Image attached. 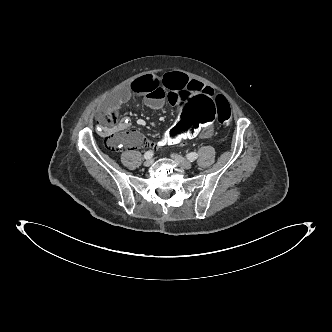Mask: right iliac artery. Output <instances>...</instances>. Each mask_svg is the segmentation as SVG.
<instances>
[{
    "label": "right iliac artery",
    "mask_w": 332,
    "mask_h": 332,
    "mask_svg": "<svg viewBox=\"0 0 332 332\" xmlns=\"http://www.w3.org/2000/svg\"><path fill=\"white\" fill-rule=\"evenodd\" d=\"M153 157V152L152 151H147L145 154H144V158L145 159H150Z\"/></svg>",
    "instance_id": "obj_1"
}]
</instances>
